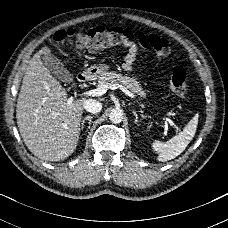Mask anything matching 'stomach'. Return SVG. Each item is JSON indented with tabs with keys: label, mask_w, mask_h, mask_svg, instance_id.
<instances>
[{
	"label": "stomach",
	"mask_w": 228,
	"mask_h": 228,
	"mask_svg": "<svg viewBox=\"0 0 228 228\" xmlns=\"http://www.w3.org/2000/svg\"><path fill=\"white\" fill-rule=\"evenodd\" d=\"M110 69L108 64H99L92 66L84 71L87 79L96 80Z\"/></svg>",
	"instance_id": "obj_1"
}]
</instances>
